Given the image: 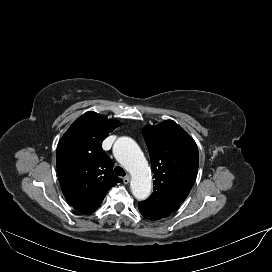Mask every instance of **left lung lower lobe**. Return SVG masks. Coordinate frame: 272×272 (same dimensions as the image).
<instances>
[{"label": "left lung lower lobe", "instance_id": "0a47b994", "mask_svg": "<svg viewBox=\"0 0 272 272\" xmlns=\"http://www.w3.org/2000/svg\"><path fill=\"white\" fill-rule=\"evenodd\" d=\"M138 208H139L140 213H141L145 218H147V219H149V220H159V219H161L160 217L154 215L153 213H151V212L145 210V209L142 208V207H139V206H138Z\"/></svg>", "mask_w": 272, "mask_h": 272}]
</instances>
